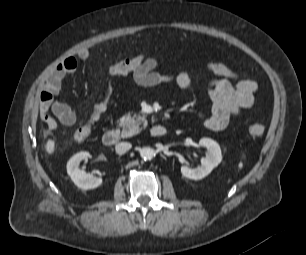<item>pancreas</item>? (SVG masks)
Masks as SVG:
<instances>
[{"instance_id": "obj_1", "label": "pancreas", "mask_w": 306, "mask_h": 255, "mask_svg": "<svg viewBox=\"0 0 306 255\" xmlns=\"http://www.w3.org/2000/svg\"><path fill=\"white\" fill-rule=\"evenodd\" d=\"M147 126L145 115L126 114L120 118L119 127L122 128L121 137L127 138L139 133Z\"/></svg>"}]
</instances>
